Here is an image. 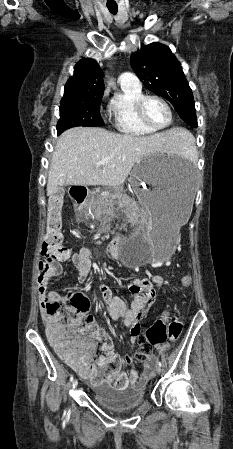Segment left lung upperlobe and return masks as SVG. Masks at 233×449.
Returning <instances> with one entry per match:
<instances>
[{"mask_svg":"<svg viewBox=\"0 0 233 449\" xmlns=\"http://www.w3.org/2000/svg\"><path fill=\"white\" fill-rule=\"evenodd\" d=\"M130 63L147 89L167 99L191 127L198 126L192 90L168 46L158 42L142 45L131 56Z\"/></svg>","mask_w":233,"mask_h":449,"instance_id":"1","label":"left lung upper lobe"}]
</instances>
